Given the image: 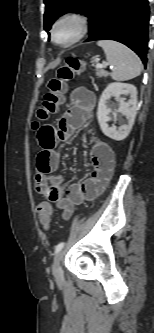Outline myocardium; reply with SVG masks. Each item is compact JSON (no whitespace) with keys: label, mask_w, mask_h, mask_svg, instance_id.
<instances>
[{"label":"myocardium","mask_w":154,"mask_h":333,"mask_svg":"<svg viewBox=\"0 0 154 333\" xmlns=\"http://www.w3.org/2000/svg\"><path fill=\"white\" fill-rule=\"evenodd\" d=\"M64 24L73 26V33L67 40L58 39V29ZM89 21L87 16L78 11H71L60 15L52 24L51 39L52 42L61 47H69L79 42L88 32Z\"/></svg>","instance_id":"myocardium-1"}]
</instances>
